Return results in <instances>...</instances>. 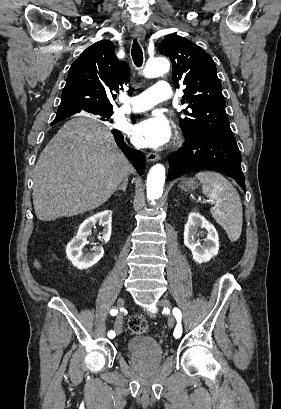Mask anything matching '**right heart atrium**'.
Listing matches in <instances>:
<instances>
[{
    "label": "right heart atrium",
    "instance_id": "d8ad5b80",
    "mask_svg": "<svg viewBox=\"0 0 281 409\" xmlns=\"http://www.w3.org/2000/svg\"><path fill=\"white\" fill-rule=\"evenodd\" d=\"M122 131H123V133L125 134V135H129V129H128V125L127 124H125L124 126H123V129H122Z\"/></svg>",
    "mask_w": 281,
    "mask_h": 409
}]
</instances>
